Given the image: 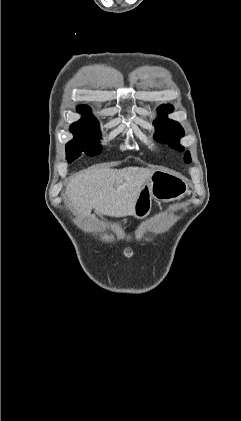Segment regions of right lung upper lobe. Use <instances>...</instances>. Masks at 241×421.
Wrapping results in <instances>:
<instances>
[{"mask_svg":"<svg viewBox=\"0 0 241 421\" xmlns=\"http://www.w3.org/2000/svg\"><path fill=\"white\" fill-rule=\"evenodd\" d=\"M78 111L84 115V118L77 122H74L72 126H87L96 122V120L89 116L90 108L88 106H79Z\"/></svg>","mask_w":241,"mask_h":421,"instance_id":"right-lung-upper-lobe-1","label":"right lung upper lobe"}]
</instances>
